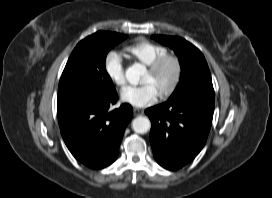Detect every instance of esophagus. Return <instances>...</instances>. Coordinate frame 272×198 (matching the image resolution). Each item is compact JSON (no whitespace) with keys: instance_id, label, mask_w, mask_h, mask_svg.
I'll return each instance as SVG.
<instances>
[{"instance_id":"1","label":"esophagus","mask_w":272,"mask_h":198,"mask_svg":"<svg viewBox=\"0 0 272 198\" xmlns=\"http://www.w3.org/2000/svg\"><path fill=\"white\" fill-rule=\"evenodd\" d=\"M133 113L135 116H139V115H142L144 111L140 108H133Z\"/></svg>"}]
</instances>
